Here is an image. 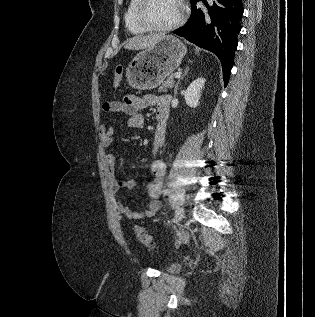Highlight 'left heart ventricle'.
Here are the masks:
<instances>
[{"label":"left heart ventricle","instance_id":"1","mask_svg":"<svg viewBox=\"0 0 315 317\" xmlns=\"http://www.w3.org/2000/svg\"><path fill=\"white\" fill-rule=\"evenodd\" d=\"M180 13L179 0H150L145 8L144 17L151 24L164 26L175 22Z\"/></svg>","mask_w":315,"mask_h":317}]
</instances>
